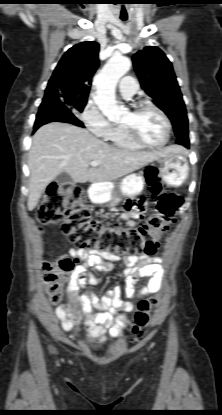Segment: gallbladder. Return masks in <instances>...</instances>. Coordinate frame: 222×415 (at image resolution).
<instances>
[{
  "label": "gallbladder",
  "mask_w": 222,
  "mask_h": 415,
  "mask_svg": "<svg viewBox=\"0 0 222 415\" xmlns=\"http://www.w3.org/2000/svg\"><path fill=\"white\" fill-rule=\"evenodd\" d=\"M56 182L60 185H64V184H74L73 179L71 178V176L66 173V172H62L60 173L57 177H56Z\"/></svg>",
  "instance_id": "gallbladder-1"
}]
</instances>
